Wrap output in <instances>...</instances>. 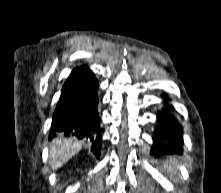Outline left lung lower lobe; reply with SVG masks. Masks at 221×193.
I'll return each instance as SVG.
<instances>
[{
    "instance_id": "obj_1",
    "label": "left lung lower lobe",
    "mask_w": 221,
    "mask_h": 193,
    "mask_svg": "<svg viewBox=\"0 0 221 193\" xmlns=\"http://www.w3.org/2000/svg\"><path fill=\"white\" fill-rule=\"evenodd\" d=\"M164 98V107L162 111L157 113L158 124L153 136L154 142L151 153L155 156L183 152V128L171 113L174 108L168 104L169 99L166 96Z\"/></svg>"
}]
</instances>
